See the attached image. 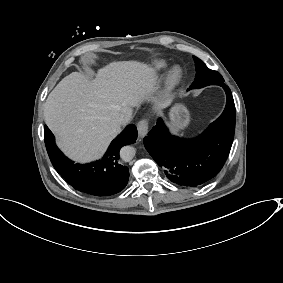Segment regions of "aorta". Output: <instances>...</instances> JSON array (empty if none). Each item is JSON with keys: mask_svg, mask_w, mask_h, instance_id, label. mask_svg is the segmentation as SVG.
<instances>
[{"mask_svg": "<svg viewBox=\"0 0 283 283\" xmlns=\"http://www.w3.org/2000/svg\"><path fill=\"white\" fill-rule=\"evenodd\" d=\"M136 154V149L133 146H124L120 151L121 159L125 162L131 161Z\"/></svg>", "mask_w": 283, "mask_h": 283, "instance_id": "obj_1", "label": "aorta"}]
</instances>
